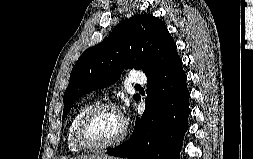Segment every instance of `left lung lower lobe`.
Wrapping results in <instances>:
<instances>
[{"label":"left lung lower lobe","mask_w":253,"mask_h":159,"mask_svg":"<svg viewBox=\"0 0 253 159\" xmlns=\"http://www.w3.org/2000/svg\"><path fill=\"white\" fill-rule=\"evenodd\" d=\"M147 79L143 115L137 117L130 139L107 153L128 159H180L190 93L178 53Z\"/></svg>","instance_id":"1"}]
</instances>
